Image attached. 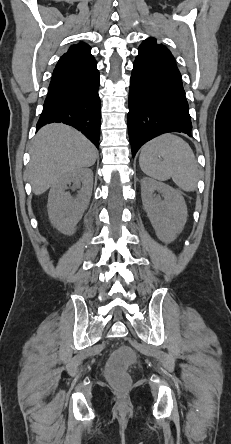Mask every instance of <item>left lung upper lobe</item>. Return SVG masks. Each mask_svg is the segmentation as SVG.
Returning a JSON list of instances; mask_svg holds the SVG:
<instances>
[{
  "label": "left lung upper lobe",
  "mask_w": 231,
  "mask_h": 444,
  "mask_svg": "<svg viewBox=\"0 0 231 444\" xmlns=\"http://www.w3.org/2000/svg\"><path fill=\"white\" fill-rule=\"evenodd\" d=\"M138 50L158 52L173 57L171 52L162 44H158L155 38H148L144 40L139 46Z\"/></svg>",
  "instance_id": "1"
}]
</instances>
